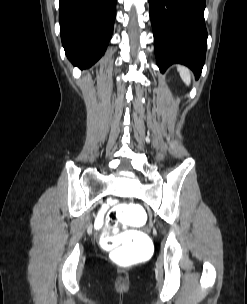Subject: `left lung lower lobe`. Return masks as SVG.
<instances>
[{"mask_svg": "<svg viewBox=\"0 0 247 304\" xmlns=\"http://www.w3.org/2000/svg\"><path fill=\"white\" fill-rule=\"evenodd\" d=\"M155 56L164 72L171 64L189 67L199 78L205 63V0H148Z\"/></svg>", "mask_w": 247, "mask_h": 304, "instance_id": "1", "label": "left lung lower lobe"}]
</instances>
